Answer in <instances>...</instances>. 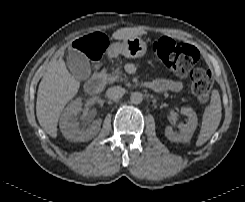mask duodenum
Instances as JSON below:
<instances>
[{"mask_svg": "<svg viewBox=\"0 0 245 202\" xmlns=\"http://www.w3.org/2000/svg\"><path fill=\"white\" fill-rule=\"evenodd\" d=\"M106 74L99 72L93 79L86 83V91L90 95H97L101 92L106 84Z\"/></svg>", "mask_w": 245, "mask_h": 202, "instance_id": "410a0bca", "label": "duodenum"}]
</instances>
